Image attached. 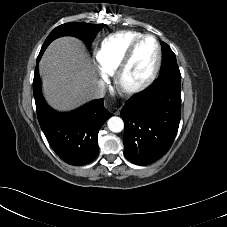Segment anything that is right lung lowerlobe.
Listing matches in <instances>:
<instances>
[{"instance_id": "obj_1", "label": "right lung lower lobe", "mask_w": 227, "mask_h": 227, "mask_svg": "<svg viewBox=\"0 0 227 227\" xmlns=\"http://www.w3.org/2000/svg\"><path fill=\"white\" fill-rule=\"evenodd\" d=\"M41 56H38L37 63ZM33 93L39 124L54 152L66 163L85 165L99 153L98 132L112 114L104 108V99H96L83 107L60 113L44 100L36 65Z\"/></svg>"}]
</instances>
